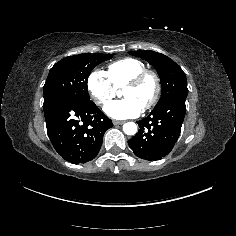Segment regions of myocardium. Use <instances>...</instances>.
<instances>
[{
    "instance_id": "obj_1",
    "label": "myocardium",
    "mask_w": 236,
    "mask_h": 236,
    "mask_svg": "<svg viewBox=\"0 0 236 236\" xmlns=\"http://www.w3.org/2000/svg\"><path fill=\"white\" fill-rule=\"evenodd\" d=\"M151 79L153 83V93L149 101L146 103V105L143 107L144 110L150 109L153 105L156 104V102L159 99L160 93H161V82L160 78L157 75L156 72L152 70H142L132 76L124 85L123 89L129 88V87H134L139 85L141 82H143L145 79Z\"/></svg>"
}]
</instances>
